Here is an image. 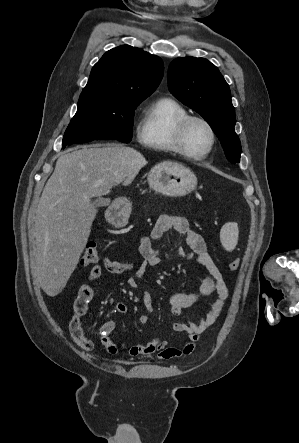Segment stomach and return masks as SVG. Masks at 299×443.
Returning a JSON list of instances; mask_svg holds the SVG:
<instances>
[{
    "instance_id": "1",
    "label": "stomach",
    "mask_w": 299,
    "mask_h": 443,
    "mask_svg": "<svg viewBox=\"0 0 299 443\" xmlns=\"http://www.w3.org/2000/svg\"><path fill=\"white\" fill-rule=\"evenodd\" d=\"M149 186L156 192L170 197H179L195 189L197 178L195 174L183 165L169 163L159 164L148 174ZM131 212V204L126 198L116 199L111 206L108 221L116 227L125 226Z\"/></svg>"
}]
</instances>
